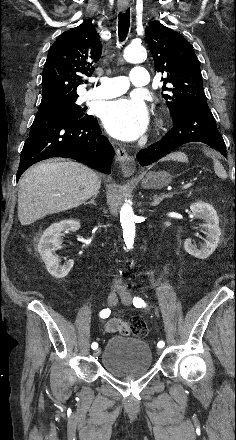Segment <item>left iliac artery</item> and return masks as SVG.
Listing matches in <instances>:
<instances>
[{
	"label": "left iliac artery",
	"mask_w": 236,
	"mask_h": 440,
	"mask_svg": "<svg viewBox=\"0 0 236 440\" xmlns=\"http://www.w3.org/2000/svg\"><path fill=\"white\" fill-rule=\"evenodd\" d=\"M133 305L136 308L146 307V303L144 302V300L139 298V297H134ZM157 346H158V348H163L165 346V342L164 341H159Z\"/></svg>",
	"instance_id": "1"
}]
</instances>
